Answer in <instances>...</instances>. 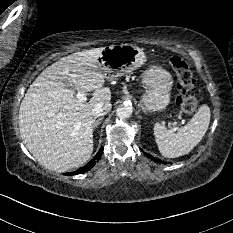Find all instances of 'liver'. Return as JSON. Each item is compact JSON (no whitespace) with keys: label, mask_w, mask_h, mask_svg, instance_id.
Returning <instances> with one entry per match:
<instances>
[{"label":"liver","mask_w":233,"mask_h":233,"mask_svg":"<svg viewBox=\"0 0 233 233\" xmlns=\"http://www.w3.org/2000/svg\"><path fill=\"white\" fill-rule=\"evenodd\" d=\"M103 49L76 52L48 66L21 102L19 128L23 143L49 170L78 168L92 155V109L97 103L111 100L110 88L103 87L106 77L98 64ZM74 89L94 92L88 102H80Z\"/></svg>","instance_id":"liver-1"}]
</instances>
